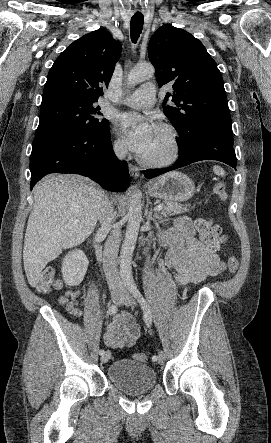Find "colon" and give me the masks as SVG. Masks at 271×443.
<instances>
[{"instance_id":"colon-1","label":"colon","mask_w":271,"mask_h":443,"mask_svg":"<svg viewBox=\"0 0 271 443\" xmlns=\"http://www.w3.org/2000/svg\"><path fill=\"white\" fill-rule=\"evenodd\" d=\"M213 192L221 201L226 200L228 197L227 188L223 182H218L214 186ZM194 226L199 233L200 240L210 250L216 252L221 248L222 244L224 243L225 236L218 225L214 224L207 218H198L196 219ZM228 269L232 274L238 269V260L233 256L228 258ZM54 276L55 272L53 268L48 267L44 269L37 285L38 289L41 292L46 293L49 292L53 286L57 287L58 284H61L60 282L54 283ZM134 359L139 362H147L148 356L145 353H135Z\"/></svg>"}]
</instances>
